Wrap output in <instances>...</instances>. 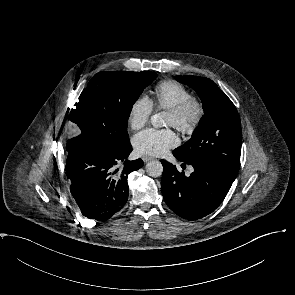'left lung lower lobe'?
<instances>
[{
    "label": "left lung lower lobe",
    "mask_w": 295,
    "mask_h": 295,
    "mask_svg": "<svg viewBox=\"0 0 295 295\" xmlns=\"http://www.w3.org/2000/svg\"><path fill=\"white\" fill-rule=\"evenodd\" d=\"M173 154L184 165H192L194 172L186 177L174 165L161 160L163 198L178 216L188 220L203 218L222 203L235 179L211 164L185 162L174 151Z\"/></svg>",
    "instance_id": "0a47b994"
}]
</instances>
